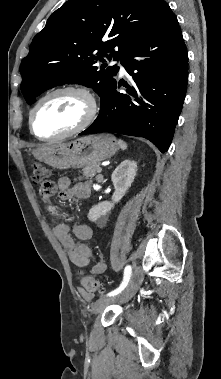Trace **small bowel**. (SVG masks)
Instances as JSON below:
<instances>
[{
	"label": "small bowel",
	"instance_id": "small-bowel-1",
	"mask_svg": "<svg viewBox=\"0 0 221 379\" xmlns=\"http://www.w3.org/2000/svg\"><path fill=\"white\" fill-rule=\"evenodd\" d=\"M59 191V196L63 200H71L74 198H88L91 192V186L88 181L72 184L68 177H60L57 184L52 183L51 190L41 195L44 202H49L51 196ZM50 213L56 218L57 222L53 227V234L59 241L61 246L66 250L70 261L77 266L81 272L86 268L92 258L91 248L80 241L89 240L93 236V228L87 224L69 225L65 223L58 214V209L50 207ZM106 269L104 262L100 261L91 268V273L100 274ZM81 295L85 299H91L90 293L80 289Z\"/></svg>",
	"mask_w": 221,
	"mask_h": 379
}]
</instances>
